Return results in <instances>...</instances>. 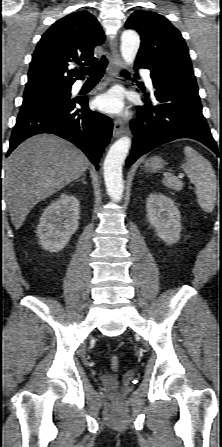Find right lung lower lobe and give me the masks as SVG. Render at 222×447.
Segmentation results:
<instances>
[{
	"instance_id": "98d812e1",
	"label": "right lung lower lobe",
	"mask_w": 222,
	"mask_h": 447,
	"mask_svg": "<svg viewBox=\"0 0 222 447\" xmlns=\"http://www.w3.org/2000/svg\"><path fill=\"white\" fill-rule=\"evenodd\" d=\"M112 120L88 108L87 98H74L28 114L18 115L7 156L25 139L40 133L58 135L78 146L99 168L112 135Z\"/></svg>"
}]
</instances>
